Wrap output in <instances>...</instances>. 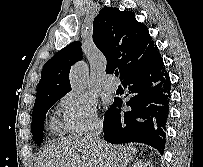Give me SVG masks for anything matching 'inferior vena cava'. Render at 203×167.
<instances>
[{"label":"inferior vena cava","mask_w":203,"mask_h":167,"mask_svg":"<svg viewBox=\"0 0 203 167\" xmlns=\"http://www.w3.org/2000/svg\"><path fill=\"white\" fill-rule=\"evenodd\" d=\"M102 127L103 124L101 121L95 123L91 131L85 136L95 146L100 145L99 135L102 132Z\"/></svg>","instance_id":"inferior-vena-cava-1"}]
</instances>
